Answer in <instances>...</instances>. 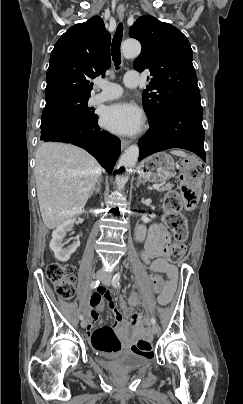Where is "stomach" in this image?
<instances>
[{"instance_id": "1", "label": "stomach", "mask_w": 243, "mask_h": 404, "mask_svg": "<svg viewBox=\"0 0 243 404\" xmlns=\"http://www.w3.org/2000/svg\"><path fill=\"white\" fill-rule=\"evenodd\" d=\"M138 173L145 181L164 182L174 177L175 163L170 155L156 153L140 163Z\"/></svg>"}]
</instances>
